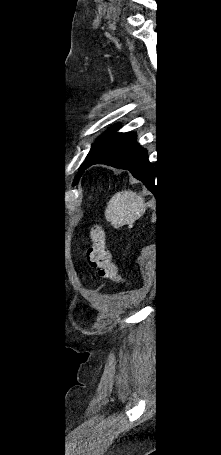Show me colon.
Returning a JSON list of instances; mask_svg holds the SVG:
<instances>
[{
    "label": "colon",
    "instance_id": "1",
    "mask_svg": "<svg viewBox=\"0 0 221 455\" xmlns=\"http://www.w3.org/2000/svg\"><path fill=\"white\" fill-rule=\"evenodd\" d=\"M87 261L102 279L121 281V275L111 259L103 231L96 227L91 232V245L87 250Z\"/></svg>",
    "mask_w": 221,
    "mask_h": 455
}]
</instances>
